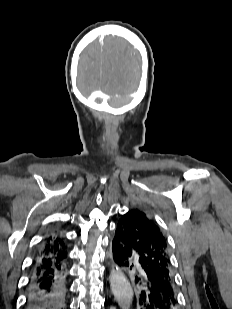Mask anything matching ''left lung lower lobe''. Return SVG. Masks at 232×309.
<instances>
[{
	"label": "left lung lower lobe",
	"mask_w": 232,
	"mask_h": 309,
	"mask_svg": "<svg viewBox=\"0 0 232 309\" xmlns=\"http://www.w3.org/2000/svg\"><path fill=\"white\" fill-rule=\"evenodd\" d=\"M113 258L119 267L132 269L134 251L117 226L112 242ZM135 283L139 286L140 309H177V299L166 277L139 259Z\"/></svg>",
	"instance_id": "0a47b994"
}]
</instances>
